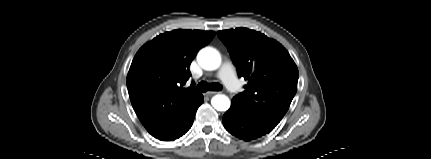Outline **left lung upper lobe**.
<instances>
[{
	"label": "left lung upper lobe",
	"instance_id": "1",
	"mask_svg": "<svg viewBox=\"0 0 431 159\" xmlns=\"http://www.w3.org/2000/svg\"><path fill=\"white\" fill-rule=\"evenodd\" d=\"M228 48L245 90L233 98L245 109L281 120L297 91L298 69L277 41L247 28L217 32Z\"/></svg>",
	"mask_w": 431,
	"mask_h": 159
}]
</instances>
